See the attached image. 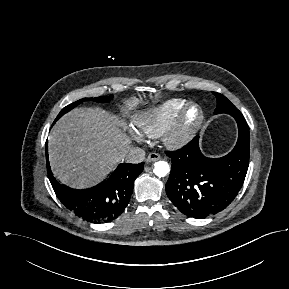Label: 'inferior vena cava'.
I'll list each match as a JSON object with an SVG mask.
<instances>
[{"label": "inferior vena cava", "mask_w": 289, "mask_h": 289, "mask_svg": "<svg viewBox=\"0 0 289 289\" xmlns=\"http://www.w3.org/2000/svg\"><path fill=\"white\" fill-rule=\"evenodd\" d=\"M125 161L137 164L145 159V151L138 147H131L124 155Z\"/></svg>", "instance_id": "inferior-vena-cava-1"}]
</instances>
